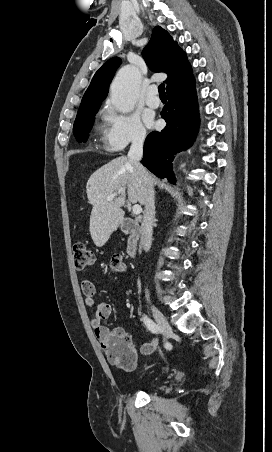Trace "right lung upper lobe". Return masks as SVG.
Returning <instances> with one entry per match:
<instances>
[{"mask_svg": "<svg viewBox=\"0 0 272 452\" xmlns=\"http://www.w3.org/2000/svg\"><path fill=\"white\" fill-rule=\"evenodd\" d=\"M142 55L152 71L165 72L168 75L165 80L167 92L193 76L185 52L179 48L168 32L159 26L154 28L150 42L144 48ZM120 64L121 59L118 57H113L103 64L95 73L79 109L101 105L107 96L110 81Z\"/></svg>", "mask_w": 272, "mask_h": 452, "instance_id": "obj_1", "label": "right lung upper lobe"}]
</instances>
